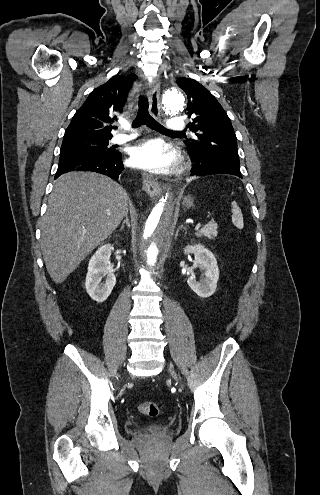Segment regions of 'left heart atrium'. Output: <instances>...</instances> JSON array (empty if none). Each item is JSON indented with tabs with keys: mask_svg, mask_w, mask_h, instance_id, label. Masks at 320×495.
<instances>
[{
	"mask_svg": "<svg viewBox=\"0 0 320 495\" xmlns=\"http://www.w3.org/2000/svg\"><path fill=\"white\" fill-rule=\"evenodd\" d=\"M175 160V156L167 153L165 147L155 140L133 147L130 153V162L133 166L156 173L169 170Z\"/></svg>",
	"mask_w": 320,
	"mask_h": 495,
	"instance_id": "left-heart-atrium-1",
	"label": "left heart atrium"
}]
</instances>
